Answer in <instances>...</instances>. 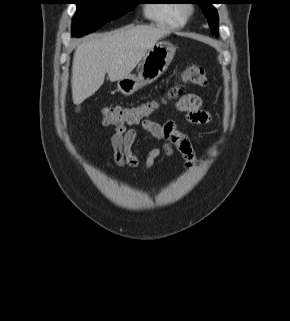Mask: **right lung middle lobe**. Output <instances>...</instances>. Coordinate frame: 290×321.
Instances as JSON below:
<instances>
[{"label": "right lung middle lobe", "mask_w": 290, "mask_h": 321, "mask_svg": "<svg viewBox=\"0 0 290 321\" xmlns=\"http://www.w3.org/2000/svg\"><path fill=\"white\" fill-rule=\"evenodd\" d=\"M72 35L81 37L137 6V0H76Z\"/></svg>", "instance_id": "1"}]
</instances>
